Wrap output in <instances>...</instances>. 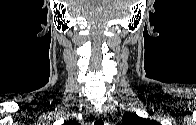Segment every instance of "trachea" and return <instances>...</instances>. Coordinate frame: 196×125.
<instances>
[{
  "instance_id": "trachea-1",
  "label": "trachea",
  "mask_w": 196,
  "mask_h": 125,
  "mask_svg": "<svg viewBox=\"0 0 196 125\" xmlns=\"http://www.w3.org/2000/svg\"><path fill=\"white\" fill-rule=\"evenodd\" d=\"M94 125H104V122L102 119H98L95 121Z\"/></svg>"
}]
</instances>
